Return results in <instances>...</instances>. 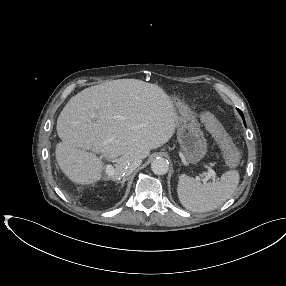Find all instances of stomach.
I'll use <instances>...</instances> for the list:
<instances>
[{
  "instance_id": "obj_1",
  "label": "stomach",
  "mask_w": 286,
  "mask_h": 286,
  "mask_svg": "<svg viewBox=\"0 0 286 286\" xmlns=\"http://www.w3.org/2000/svg\"><path fill=\"white\" fill-rule=\"evenodd\" d=\"M177 115V138L186 159L198 163L207 153V141L191 109L181 100L172 97Z\"/></svg>"
}]
</instances>
